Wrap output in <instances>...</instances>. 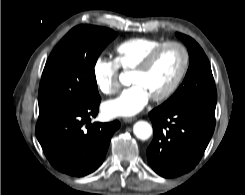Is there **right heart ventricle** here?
Returning <instances> with one entry per match:
<instances>
[{
	"instance_id": "1",
	"label": "right heart ventricle",
	"mask_w": 245,
	"mask_h": 195,
	"mask_svg": "<svg viewBox=\"0 0 245 195\" xmlns=\"http://www.w3.org/2000/svg\"><path fill=\"white\" fill-rule=\"evenodd\" d=\"M162 41L150 38H132L121 42L115 48V62L119 68L133 70Z\"/></svg>"
}]
</instances>
